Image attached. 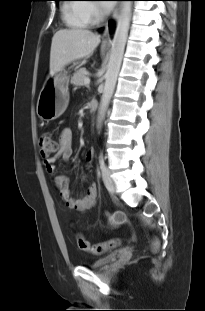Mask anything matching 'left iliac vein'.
<instances>
[{
    "label": "left iliac vein",
    "mask_w": 205,
    "mask_h": 311,
    "mask_svg": "<svg viewBox=\"0 0 205 311\" xmlns=\"http://www.w3.org/2000/svg\"><path fill=\"white\" fill-rule=\"evenodd\" d=\"M103 181L109 193L114 194L116 192L117 185L114 178L111 176L109 170L107 169L103 173Z\"/></svg>",
    "instance_id": "1"
}]
</instances>
